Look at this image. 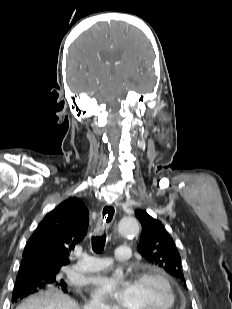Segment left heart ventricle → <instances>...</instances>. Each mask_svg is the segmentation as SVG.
<instances>
[{
	"label": "left heart ventricle",
	"instance_id": "left-heart-ventricle-1",
	"mask_svg": "<svg viewBox=\"0 0 232 309\" xmlns=\"http://www.w3.org/2000/svg\"><path fill=\"white\" fill-rule=\"evenodd\" d=\"M169 297L165 286L156 279L132 283L128 309H164Z\"/></svg>",
	"mask_w": 232,
	"mask_h": 309
}]
</instances>
